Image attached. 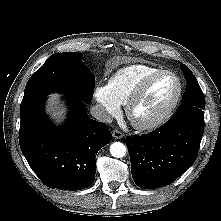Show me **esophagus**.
<instances>
[{
	"label": "esophagus",
	"mask_w": 221,
	"mask_h": 221,
	"mask_svg": "<svg viewBox=\"0 0 221 221\" xmlns=\"http://www.w3.org/2000/svg\"><path fill=\"white\" fill-rule=\"evenodd\" d=\"M112 136L115 138V139H121L123 137V133L121 131H118V130H114L112 132Z\"/></svg>",
	"instance_id": "obj_1"
}]
</instances>
